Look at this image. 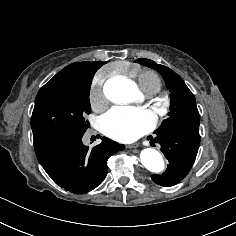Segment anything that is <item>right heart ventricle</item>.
I'll return each instance as SVG.
<instances>
[{
  "label": "right heart ventricle",
  "mask_w": 236,
  "mask_h": 236,
  "mask_svg": "<svg viewBox=\"0 0 236 236\" xmlns=\"http://www.w3.org/2000/svg\"><path fill=\"white\" fill-rule=\"evenodd\" d=\"M123 73L126 75L127 81L136 85L146 95H152L161 88V80L150 70H136L127 74L126 69H124Z\"/></svg>",
  "instance_id": "right-heart-ventricle-1"
}]
</instances>
